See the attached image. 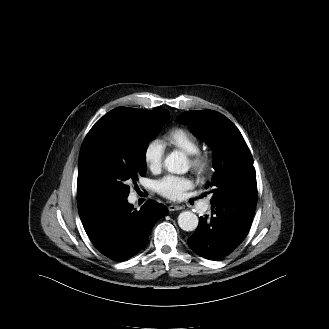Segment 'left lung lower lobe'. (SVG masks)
Returning <instances> with one entry per match:
<instances>
[{"label":"left lung lower lobe","instance_id":"left-lung-lower-lobe-1","mask_svg":"<svg viewBox=\"0 0 329 329\" xmlns=\"http://www.w3.org/2000/svg\"><path fill=\"white\" fill-rule=\"evenodd\" d=\"M257 203L255 170L226 200L211 201V216L200 217L188 244L200 256L217 260L230 254L246 237Z\"/></svg>","mask_w":329,"mask_h":329}]
</instances>
